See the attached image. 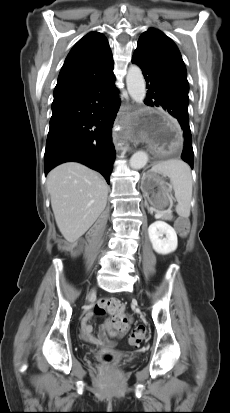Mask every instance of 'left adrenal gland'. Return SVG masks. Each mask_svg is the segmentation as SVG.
I'll return each mask as SVG.
<instances>
[{
	"instance_id": "left-adrenal-gland-1",
	"label": "left adrenal gland",
	"mask_w": 230,
	"mask_h": 413,
	"mask_svg": "<svg viewBox=\"0 0 230 413\" xmlns=\"http://www.w3.org/2000/svg\"><path fill=\"white\" fill-rule=\"evenodd\" d=\"M146 206H147L148 211H149L150 213H152V211L149 209L148 204H146Z\"/></svg>"
}]
</instances>
